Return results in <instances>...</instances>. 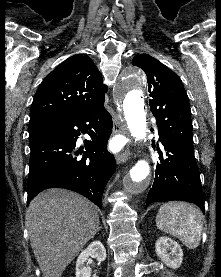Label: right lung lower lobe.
<instances>
[{
    "mask_svg": "<svg viewBox=\"0 0 221 277\" xmlns=\"http://www.w3.org/2000/svg\"><path fill=\"white\" fill-rule=\"evenodd\" d=\"M34 125L46 132L30 145L27 204L45 189L65 188L102 208L105 186L116 170L114 156L106 150L112 117L104 105L75 115L41 118ZM81 132L92 139L85 142L84 152L76 150Z\"/></svg>",
    "mask_w": 221,
    "mask_h": 277,
    "instance_id": "98d812e1",
    "label": "right lung lower lobe"
}]
</instances>
